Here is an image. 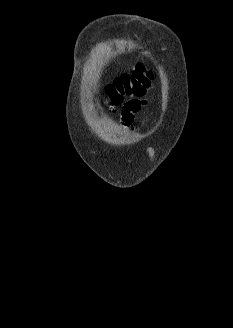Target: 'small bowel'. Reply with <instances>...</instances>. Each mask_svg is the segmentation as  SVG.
I'll return each instance as SVG.
<instances>
[{
  "instance_id": "small-bowel-1",
  "label": "small bowel",
  "mask_w": 233,
  "mask_h": 328,
  "mask_svg": "<svg viewBox=\"0 0 233 328\" xmlns=\"http://www.w3.org/2000/svg\"><path fill=\"white\" fill-rule=\"evenodd\" d=\"M147 103L148 101L145 99H133L128 101L121 112V126L131 130L136 129L134 122Z\"/></svg>"
}]
</instances>
